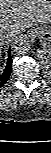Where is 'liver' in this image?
<instances>
[{
    "instance_id": "obj_1",
    "label": "liver",
    "mask_w": 51,
    "mask_h": 153,
    "mask_svg": "<svg viewBox=\"0 0 51 153\" xmlns=\"http://www.w3.org/2000/svg\"><path fill=\"white\" fill-rule=\"evenodd\" d=\"M51 22V0H0V46L33 23ZM2 35L4 38H2Z\"/></svg>"
}]
</instances>
